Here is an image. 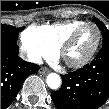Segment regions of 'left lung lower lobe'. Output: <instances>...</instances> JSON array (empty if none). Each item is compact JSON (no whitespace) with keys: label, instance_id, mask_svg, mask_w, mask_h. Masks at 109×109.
<instances>
[{"label":"left lung lower lobe","instance_id":"0a47b994","mask_svg":"<svg viewBox=\"0 0 109 109\" xmlns=\"http://www.w3.org/2000/svg\"><path fill=\"white\" fill-rule=\"evenodd\" d=\"M61 77V88L51 94L58 109L99 108L109 98V45L90 64Z\"/></svg>","mask_w":109,"mask_h":109}]
</instances>
